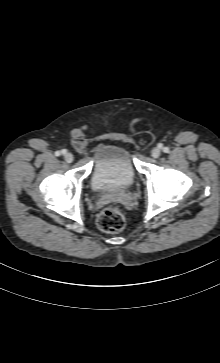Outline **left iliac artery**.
<instances>
[{"label": "left iliac artery", "mask_w": 220, "mask_h": 363, "mask_svg": "<svg viewBox=\"0 0 220 363\" xmlns=\"http://www.w3.org/2000/svg\"><path fill=\"white\" fill-rule=\"evenodd\" d=\"M163 152L168 153L169 152V148L168 147H164L163 148Z\"/></svg>", "instance_id": "1"}]
</instances>
